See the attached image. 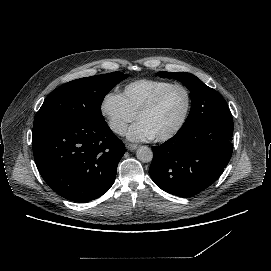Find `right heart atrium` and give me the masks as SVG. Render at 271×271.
<instances>
[{"mask_svg": "<svg viewBox=\"0 0 271 271\" xmlns=\"http://www.w3.org/2000/svg\"><path fill=\"white\" fill-rule=\"evenodd\" d=\"M99 111L109 129L117 135H123L135 119V116L124 105L120 94L113 90L104 94Z\"/></svg>", "mask_w": 271, "mask_h": 271, "instance_id": "d8ad5b80", "label": "right heart atrium"}]
</instances>
